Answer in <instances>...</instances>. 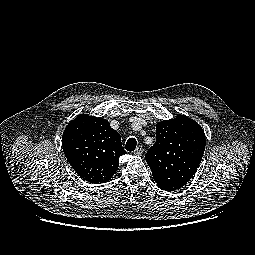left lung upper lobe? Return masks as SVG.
Wrapping results in <instances>:
<instances>
[{"mask_svg":"<svg viewBox=\"0 0 255 255\" xmlns=\"http://www.w3.org/2000/svg\"><path fill=\"white\" fill-rule=\"evenodd\" d=\"M204 150V130L194 120L179 114L157 123L156 142L145 158L157 186L173 191L193 177Z\"/></svg>","mask_w":255,"mask_h":255,"instance_id":"1","label":"left lung upper lobe"}]
</instances>
